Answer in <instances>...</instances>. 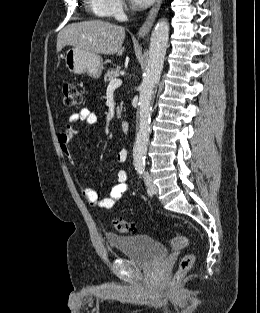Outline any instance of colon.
<instances>
[{
    "instance_id": "obj_1",
    "label": "colon",
    "mask_w": 260,
    "mask_h": 313,
    "mask_svg": "<svg viewBox=\"0 0 260 313\" xmlns=\"http://www.w3.org/2000/svg\"><path fill=\"white\" fill-rule=\"evenodd\" d=\"M83 98L78 87L73 83H66L63 86V103L67 108L78 107L82 104ZM114 227L120 233H133L136 231L135 225L132 222L121 218L114 220ZM189 240L187 236H178L172 239L171 246L174 249H181L188 245ZM195 254L188 253L182 257L176 271L175 280L178 281L183 278L192 268L195 262Z\"/></svg>"
}]
</instances>
